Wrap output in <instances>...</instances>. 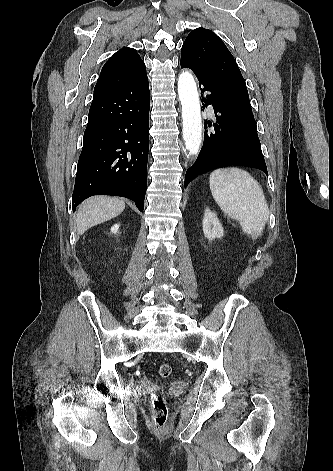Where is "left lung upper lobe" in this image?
I'll return each mask as SVG.
<instances>
[{"mask_svg":"<svg viewBox=\"0 0 333 471\" xmlns=\"http://www.w3.org/2000/svg\"><path fill=\"white\" fill-rule=\"evenodd\" d=\"M181 61L217 84L236 108L255 121L245 80L232 54L215 33L205 28L191 31L183 43Z\"/></svg>","mask_w":333,"mask_h":471,"instance_id":"obj_1","label":"left lung upper lobe"}]
</instances>
